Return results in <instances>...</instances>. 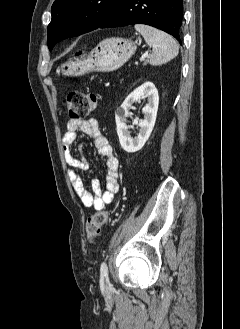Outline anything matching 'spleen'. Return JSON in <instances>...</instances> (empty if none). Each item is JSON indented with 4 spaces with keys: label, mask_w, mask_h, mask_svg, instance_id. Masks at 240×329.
Returning a JSON list of instances; mask_svg holds the SVG:
<instances>
[{
    "label": "spleen",
    "mask_w": 240,
    "mask_h": 329,
    "mask_svg": "<svg viewBox=\"0 0 240 329\" xmlns=\"http://www.w3.org/2000/svg\"><path fill=\"white\" fill-rule=\"evenodd\" d=\"M135 29L153 49L150 64L161 65L178 55V44L169 34L144 24H136Z\"/></svg>",
    "instance_id": "spleen-1"
}]
</instances>
